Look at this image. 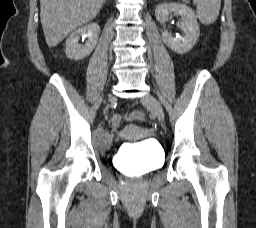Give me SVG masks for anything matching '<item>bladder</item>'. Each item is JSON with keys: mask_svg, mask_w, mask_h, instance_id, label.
<instances>
[{"mask_svg": "<svg viewBox=\"0 0 256 228\" xmlns=\"http://www.w3.org/2000/svg\"><path fill=\"white\" fill-rule=\"evenodd\" d=\"M112 141L113 136L108 133H101L96 140L98 146L102 148L109 147ZM161 161L162 153L154 145H145L140 149L130 151L126 155L127 166L138 175L156 169L160 166Z\"/></svg>", "mask_w": 256, "mask_h": 228, "instance_id": "1", "label": "bladder"}]
</instances>
